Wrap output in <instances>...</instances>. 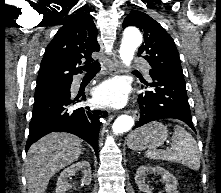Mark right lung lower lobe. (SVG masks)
Here are the masks:
<instances>
[{
	"label": "right lung lower lobe",
	"mask_w": 221,
	"mask_h": 193,
	"mask_svg": "<svg viewBox=\"0 0 221 193\" xmlns=\"http://www.w3.org/2000/svg\"><path fill=\"white\" fill-rule=\"evenodd\" d=\"M71 83L66 89H51L35 95L26 151L46 134L62 131L79 136L98 153L99 119L106 117L107 112L91 110L89 107L71 108L80 101L70 96ZM81 100H85V96Z\"/></svg>",
	"instance_id": "1"
}]
</instances>
